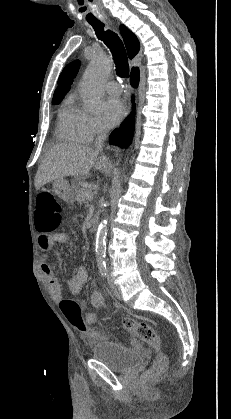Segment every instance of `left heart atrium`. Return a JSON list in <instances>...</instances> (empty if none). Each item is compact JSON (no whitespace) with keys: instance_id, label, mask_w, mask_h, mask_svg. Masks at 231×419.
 <instances>
[{"instance_id":"1","label":"left heart atrium","mask_w":231,"mask_h":419,"mask_svg":"<svg viewBox=\"0 0 231 419\" xmlns=\"http://www.w3.org/2000/svg\"><path fill=\"white\" fill-rule=\"evenodd\" d=\"M125 114V107L121 100L108 98L102 103V121L105 127L110 128L119 123Z\"/></svg>"}]
</instances>
